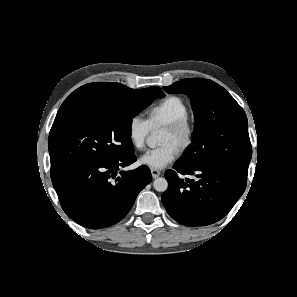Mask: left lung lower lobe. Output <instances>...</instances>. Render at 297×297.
I'll return each instance as SVG.
<instances>
[{
  "label": "left lung lower lobe",
  "instance_id": "left-lung-lower-lobe-1",
  "mask_svg": "<svg viewBox=\"0 0 297 297\" xmlns=\"http://www.w3.org/2000/svg\"><path fill=\"white\" fill-rule=\"evenodd\" d=\"M194 175L197 179L183 178ZM168 189L162 203L168 214L186 226H205L222 219L246 188L247 176L213 165L179 163L165 172Z\"/></svg>",
  "mask_w": 297,
  "mask_h": 297
}]
</instances>
